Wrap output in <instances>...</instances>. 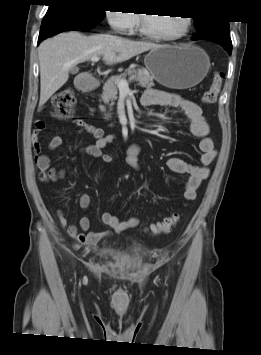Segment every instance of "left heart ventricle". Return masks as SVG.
<instances>
[{
    "label": "left heart ventricle",
    "mask_w": 261,
    "mask_h": 355,
    "mask_svg": "<svg viewBox=\"0 0 261 355\" xmlns=\"http://www.w3.org/2000/svg\"><path fill=\"white\" fill-rule=\"evenodd\" d=\"M147 27L158 34L176 35L183 30L182 17L145 14Z\"/></svg>",
    "instance_id": "obj_1"
}]
</instances>
